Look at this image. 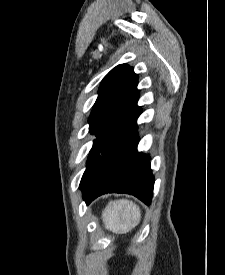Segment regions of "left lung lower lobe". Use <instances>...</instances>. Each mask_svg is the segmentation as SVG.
I'll list each match as a JSON object with an SVG mask.
<instances>
[{
	"label": "left lung lower lobe",
	"instance_id": "0a47b994",
	"mask_svg": "<svg viewBox=\"0 0 225 275\" xmlns=\"http://www.w3.org/2000/svg\"><path fill=\"white\" fill-rule=\"evenodd\" d=\"M136 129L137 125L102 155L89 177L80 184L86 204L106 193H127L151 204L154 177L150 157L137 151Z\"/></svg>",
	"mask_w": 225,
	"mask_h": 275
}]
</instances>
